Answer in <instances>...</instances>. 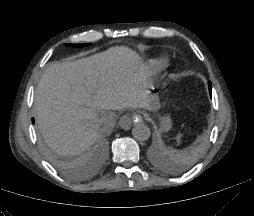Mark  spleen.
Listing matches in <instances>:
<instances>
[{"mask_svg": "<svg viewBox=\"0 0 254 216\" xmlns=\"http://www.w3.org/2000/svg\"><path fill=\"white\" fill-rule=\"evenodd\" d=\"M173 152H174V151H173V150H171V151L169 152V154H170V155H172V154H173Z\"/></svg>", "mask_w": 254, "mask_h": 216, "instance_id": "3e777b00", "label": "spleen"}]
</instances>
